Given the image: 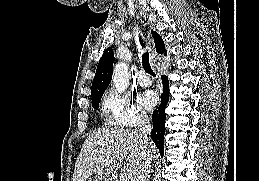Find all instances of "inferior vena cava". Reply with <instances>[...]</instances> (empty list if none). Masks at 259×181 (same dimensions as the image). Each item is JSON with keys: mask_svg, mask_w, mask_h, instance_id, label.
I'll return each mask as SVG.
<instances>
[{"mask_svg": "<svg viewBox=\"0 0 259 181\" xmlns=\"http://www.w3.org/2000/svg\"><path fill=\"white\" fill-rule=\"evenodd\" d=\"M151 130L152 128L148 117L142 116L138 121V132L143 143V161L136 177V181H148L149 179L152 157L149 152L151 141L148 136L150 135Z\"/></svg>", "mask_w": 259, "mask_h": 181, "instance_id": "1", "label": "inferior vena cava"}]
</instances>
